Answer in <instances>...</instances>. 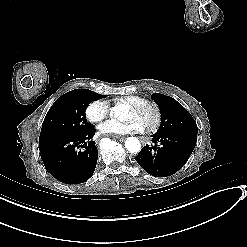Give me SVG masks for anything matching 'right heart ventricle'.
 <instances>
[{"instance_id": "obj_1", "label": "right heart ventricle", "mask_w": 247, "mask_h": 247, "mask_svg": "<svg viewBox=\"0 0 247 247\" xmlns=\"http://www.w3.org/2000/svg\"><path fill=\"white\" fill-rule=\"evenodd\" d=\"M145 99L140 97V96H124V97H120L116 100V102L119 105H136L139 104L140 102L144 101ZM118 123V122H116Z\"/></svg>"}]
</instances>
